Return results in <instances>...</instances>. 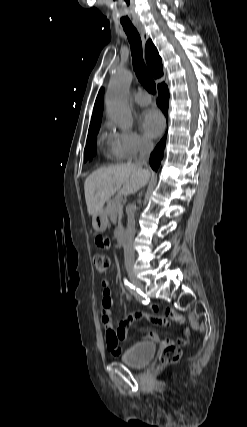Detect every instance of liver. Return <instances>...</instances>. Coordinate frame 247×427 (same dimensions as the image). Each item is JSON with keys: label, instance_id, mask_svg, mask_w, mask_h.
I'll return each mask as SVG.
<instances>
[{"label": "liver", "instance_id": "1", "mask_svg": "<svg viewBox=\"0 0 247 427\" xmlns=\"http://www.w3.org/2000/svg\"><path fill=\"white\" fill-rule=\"evenodd\" d=\"M150 174L136 164H118L99 168L84 183L87 210L92 217L101 210L107 199L117 191L134 194L149 180Z\"/></svg>", "mask_w": 247, "mask_h": 427}]
</instances>
